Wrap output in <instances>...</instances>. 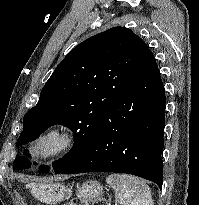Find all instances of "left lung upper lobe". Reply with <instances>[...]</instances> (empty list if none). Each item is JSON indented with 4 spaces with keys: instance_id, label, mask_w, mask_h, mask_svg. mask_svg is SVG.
Instances as JSON below:
<instances>
[{
    "instance_id": "1",
    "label": "left lung upper lobe",
    "mask_w": 199,
    "mask_h": 205,
    "mask_svg": "<svg viewBox=\"0 0 199 205\" xmlns=\"http://www.w3.org/2000/svg\"><path fill=\"white\" fill-rule=\"evenodd\" d=\"M144 44L130 29L114 27L78 44L56 67L37 105L23 118L17 146L35 140L54 124L70 128L76 143L51 168L40 166L39 172L58 174L88 148L105 113L128 84ZM28 167V159L17 155L13 168Z\"/></svg>"
}]
</instances>
